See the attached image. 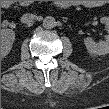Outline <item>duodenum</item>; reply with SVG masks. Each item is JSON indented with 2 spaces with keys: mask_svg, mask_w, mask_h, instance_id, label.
Segmentation results:
<instances>
[{
  "mask_svg": "<svg viewBox=\"0 0 109 109\" xmlns=\"http://www.w3.org/2000/svg\"><path fill=\"white\" fill-rule=\"evenodd\" d=\"M57 5H58L59 7H62V8H67V7H69V6H72L73 4H72V2H70V1H57ZM2 6H3L4 8H8V7H10V2H9V1H4V2L2 3Z\"/></svg>",
  "mask_w": 109,
  "mask_h": 109,
  "instance_id": "obj_1",
  "label": "duodenum"
}]
</instances>
